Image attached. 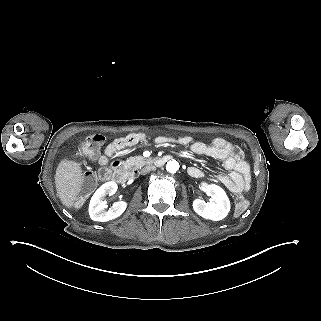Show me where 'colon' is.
<instances>
[{"label": "colon", "mask_w": 321, "mask_h": 321, "mask_svg": "<svg viewBox=\"0 0 321 321\" xmlns=\"http://www.w3.org/2000/svg\"><path fill=\"white\" fill-rule=\"evenodd\" d=\"M105 137L101 134H92L86 137L78 146L77 153L82 156L95 157L104 143ZM95 185V179L92 175H87L83 182L84 192L90 191ZM248 207V200L238 195L235 198V214L243 213Z\"/></svg>", "instance_id": "5ec220e1"}]
</instances>
